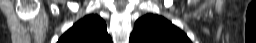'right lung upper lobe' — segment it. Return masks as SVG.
<instances>
[{
  "label": "right lung upper lobe",
  "mask_w": 256,
  "mask_h": 43,
  "mask_svg": "<svg viewBox=\"0 0 256 43\" xmlns=\"http://www.w3.org/2000/svg\"><path fill=\"white\" fill-rule=\"evenodd\" d=\"M57 43H112L107 26L97 15H88L75 23Z\"/></svg>",
  "instance_id": "1"
}]
</instances>
